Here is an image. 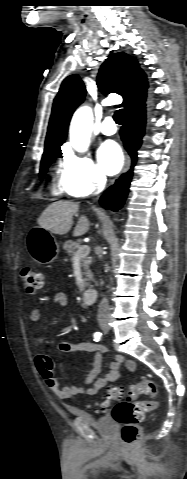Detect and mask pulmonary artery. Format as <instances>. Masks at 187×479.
I'll list each match as a JSON object with an SVG mask.
<instances>
[{
	"label": "pulmonary artery",
	"mask_w": 187,
	"mask_h": 479,
	"mask_svg": "<svg viewBox=\"0 0 187 479\" xmlns=\"http://www.w3.org/2000/svg\"><path fill=\"white\" fill-rule=\"evenodd\" d=\"M100 131L102 132V134L106 135V136H111V135H114L117 131L116 129V126H115V123L113 121V119L111 117H107L101 127H100Z\"/></svg>",
	"instance_id": "e3ab8cb5"
}]
</instances>
